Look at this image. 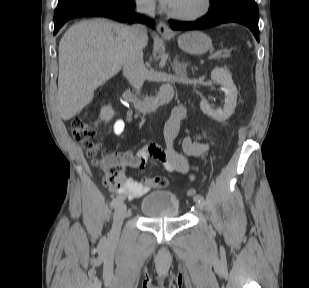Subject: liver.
Returning <instances> with one entry per match:
<instances>
[{
  "mask_svg": "<svg viewBox=\"0 0 309 288\" xmlns=\"http://www.w3.org/2000/svg\"><path fill=\"white\" fill-rule=\"evenodd\" d=\"M129 29L106 19H93L76 23L65 32L59 43L57 92L63 120L82 111L92 101L95 90L121 70ZM147 43L148 36L143 47Z\"/></svg>",
  "mask_w": 309,
  "mask_h": 288,
  "instance_id": "obj_1",
  "label": "liver"
}]
</instances>
